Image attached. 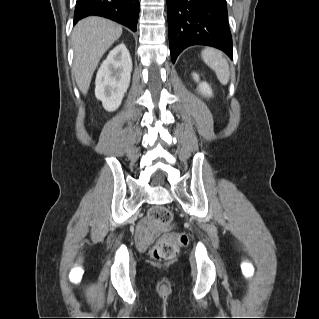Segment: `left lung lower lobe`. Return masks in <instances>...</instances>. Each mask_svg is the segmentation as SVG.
<instances>
[{
    "instance_id": "left-lung-lower-lobe-1",
    "label": "left lung lower lobe",
    "mask_w": 319,
    "mask_h": 319,
    "mask_svg": "<svg viewBox=\"0 0 319 319\" xmlns=\"http://www.w3.org/2000/svg\"><path fill=\"white\" fill-rule=\"evenodd\" d=\"M171 59L191 45H207L232 59L226 0H167Z\"/></svg>"
}]
</instances>
